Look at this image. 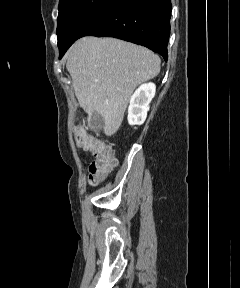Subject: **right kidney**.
<instances>
[{
    "mask_svg": "<svg viewBox=\"0 0 240 288\" xmlns=\"http://www.w3.org/2000/svg\"><path fill=\"white\" fill-rule=\"evenodd\" d=\"M156 92L154 83L142 84L132 95L128 107V122L130 125H141L147 117L149 104Z\"/></svg>",
    "mask_w": 240,
    "mask_h": 288,
    "instance_id": "obj_1",
    "label": "right kidney"
}]
</instances>
